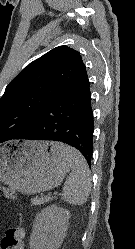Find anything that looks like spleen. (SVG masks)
<instances>
[{"mask_svg": "<svg viewBox=\"0 0 135 249\" xmlns=\"http://www.w3.org/2000/svg\"><path fill=\"white\" fill-rule=\"evenodd\" d=\"M52 150L70 163L71 173L64 183L63 199L71 205L87 202L91 190V172L83 155L76 149L53 142Z\"/></svg>", "mask_w": 135, "mask_h": 249, "instance_id": "3e777b00", "label": "spleen"}]
</instances>
